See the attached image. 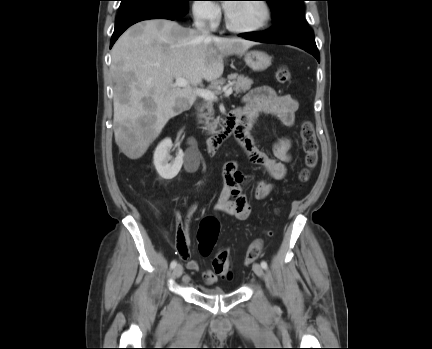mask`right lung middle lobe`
Here are the masks:
<instances>
[{
    "label": "right lung middle lobe",
    "instance_id": "dd1d6c3e",
    "mask_svg": "<svg viewBox=\"0 0 432 349\" xmlns=\"http://www.w3.org/2000/svg\"><path fill=\"white\" fill-rule=\"evenodd\" d=\"M119 14L140 8L158 7L169 10L180 16L188 12V2L190 0H120Z\"/></svg>",
    "mask_w": 432,
    "mask_h": 349
}]
</instances>
